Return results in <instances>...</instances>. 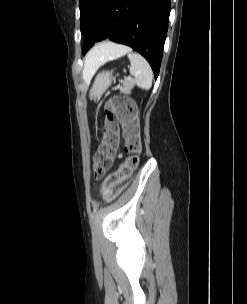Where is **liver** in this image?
I'll return each instance as SVG.
<instances>
[{"mask_svg":"<svg viewBox=\"0 0 247 304\" xmlns=\"http://www.w3.org/2000/svg\"><path fill=\"white\" fill-rule=\"evenodd\" d=\"M126 50H129L126 46L111 42H104L95 46L85 58L84 80L88 81L101 65Z\"/></svg>","mask_w":247,"mask_h":304,"instance_id":"1","label":"liver"}]
</instances>
